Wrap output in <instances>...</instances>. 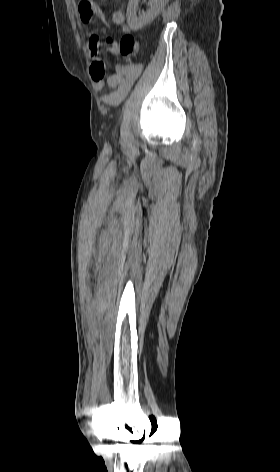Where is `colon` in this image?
I'll return each mask as SVG.
<instances>
[{"label": "colon", "mask_w": 280, "mask_h": 472, "mask_svg": "<svg viewBox=\"0 0 280 472\" xmlns=\"http://www.w3.org/2000/svg\"><path fill=\"white\" fill-rule=\"evenodd\" d=\"M119 53L129 61L136 55L137 43L131 34H125L121 38L119 43Z\"/></svg>", "instance_id": "5ec220e1"}]
</instances>
